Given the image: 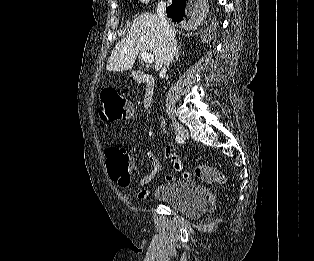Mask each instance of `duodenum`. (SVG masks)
Masks as SVG:
<instances>
[{
	"mask_svg": "<svg viewBox=\"0 0 314 261\" xmlns=\"http://www.w3.org/2000/svg\"><path fill=\"white\" fill-rule=\"evenodd\" d=\"M140 81L146 84L143 103L145 108H149L153 102L155 81L150 75L143 76Z\"/></svg>",
	"mask_w": 314,
	"mask_h": 261,
	"instance_id": "1",
	"label": "duodenum"
}]
</instances>
